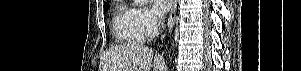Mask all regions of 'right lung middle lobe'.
Returning a JSON list of instances; mask_svg holds the SVG:
<instances>
[{
  "label": "right lung middle lobe",
  "instance_id": "obj_1",
  "mask_svg": "<svg viewBox=\"0 0 301 71\" xmlns=\"http://www.w3.org/2000/svg\"><path fill=\"white\" fill-rule=\"evenodd\" d=\"M109 8V4L104 5V11H107Z\"/></svg>",
  "mask_w": 301,
  "mask_h": 71
}]
</instances>
